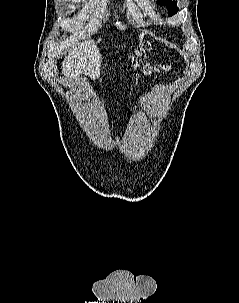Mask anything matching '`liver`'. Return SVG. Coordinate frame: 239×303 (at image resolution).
I'll return each instance as SVG.
<instances>
[{"label":"liver","mask_w":239,"mask_h":303,"mask_svg":"<svg viewBox=\"0 0 239 303\" xmlns=\"http://www.w3.org/2000/svg\"><path fill=\"white\" fill-rule=\"evenodd\" d=\"M101 54L94 40L89 39L69 51L62 62V72L65 80L76 82L83 72L90 79L100 77Z\"/></svg>","instance_id":"liver-1"}]
</instances>
